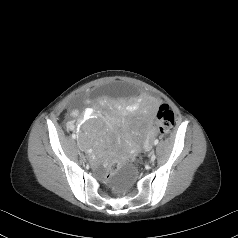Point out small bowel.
<instances>
[{"label": "small bowel", "instance_id": "small-bowel-1", "mask_svg": "<svg viewBox=\"0 0 238 238\" xmlns=\"http://www.w3.org/2000/svg\"><path fill=\"white\" fill-rule=\"evenodd\" d=\"M144 110H145L146 115L148 117H151L155 112H157L158 106H157V104L154 101L149 100V101L145 102ZM69 128L71 130H73L75 128V125L74 124H70ZM147 134L148 135L152 134V127L151 126L148 127Z\"/></svg>", "mask_w": 238, "mask_h": 238}]
</instances>
